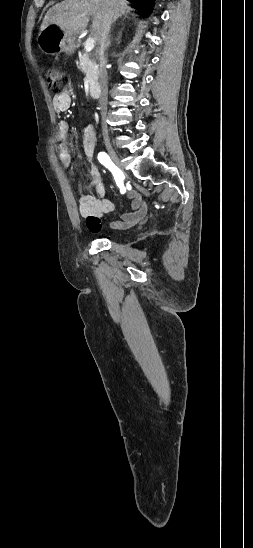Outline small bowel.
Instances as JSON below:
<instances>
[{
	"instance_id": "c3829d8e",
	"label": "small bowel",
	"mask_w": 253,
	"mask_h": 548,
	"mask_svg": "<svg viewBox=\"0 0 253 548\" xmlns=\"http://www.w3.org/2000/svg\"><path fill=\"white\" fill-rule=\"evenodd\" d=\"M53 107L57 113H63L71 107V95L69 91H63L53 97ZM68 123L61 120L58 124V132L55 137V144L61 163L65 167L71 165V157L66 144L68 133ZM96 146V133L94 128L89 125L85 129L83 138V150L86 159L90 162L89 175L90 181L87 187L94 190L95 196L82 195L79 199V213L86 218V224L92 233L100 231L102 226V217L105 213L114 210V203L107 197L106 187L102 180L100 169L93 163V153ZM130 200V210L121 215L119 219L111 220L109 226L112 229L129 228L141 221L147 214L148 206L142 199V196L130 190L127 193Z\"/></svg>"
}]
</instances>
